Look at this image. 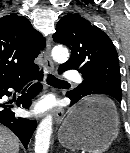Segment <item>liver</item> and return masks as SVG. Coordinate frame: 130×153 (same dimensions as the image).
Listing matches in <instances>:
<instances>
[{
  "label": "liver",
  "mask_w": 130,
  "mask_h": 153,
  "mask_svg": "<svg viewBox=\"0 0 130 153\" xmlns=\"http://www.w3.org/2000/svg\"><path fill=\"white\" fill-rule=\"evenodd\" d=\"M0 153H19L18 138L2 125H0Z\"/></svg>",
  "instance_id": "liver-1"
}]
</instances>
